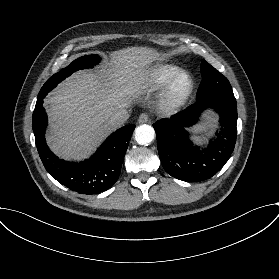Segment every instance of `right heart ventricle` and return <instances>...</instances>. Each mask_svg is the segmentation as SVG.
Here are the masks:
<instances>
[{
  "instance_id": "right-heart-ventricle-1",
  "label": "right heart ventricle",
  "mask_w": 279,
  "mask_h": 279,
  "mask_svg": "<svg viewBox=\"0 0 279 279\" xmlns=\"http://www.w3.org/2000/svg\"><path fill=\"white\" fill-rule=\"evenodd\" d=\"M183 69L174 64H157L149 68L138 82L140 93L155 92L164 89L168 82Z\"/></svg>"
}]
</instances>
